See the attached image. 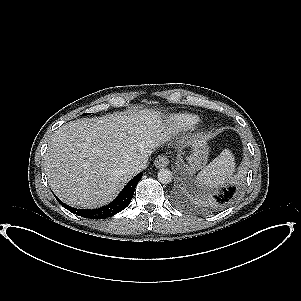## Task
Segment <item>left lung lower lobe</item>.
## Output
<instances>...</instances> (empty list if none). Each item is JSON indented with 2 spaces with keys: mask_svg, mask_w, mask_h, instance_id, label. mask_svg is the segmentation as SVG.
<instances>
[{
  "mask_svg": "<svg viewBox=\"0 0 301 301\" xmlns=\"http://www.w3.org/2000/svg\"><path fill=\"white\" fill-rule=\"evenodd\" d=\"M236 195V188L229 187L224 189L223 192L214 196L211 200L208 201V206L211 208H221L230 203Z\"/></svg>",
  "mask_w": 301,
  "mask_h": 301,
  "instance_id": "1",
  "label": "left lung lower lobe"
}]
</instances>
